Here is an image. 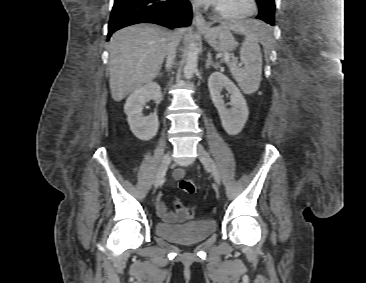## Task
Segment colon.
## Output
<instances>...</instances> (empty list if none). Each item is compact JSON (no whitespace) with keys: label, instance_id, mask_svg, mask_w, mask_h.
Wrapping results in <instances>:
<instances>
[{"label":"colon","instance_id":"colon-1","mask_svg":"<svg viewBox=\"0 0 366 283\" xmlns=\"http://www.w3.org/2000/svg\"><path fill=\"white\" fill-rule=\"evenodd\" d=\"M179 186L183 192L188 194H192L196 190V184L192 179H182ZM190 213H192V211H190Z\"/></svg>","mask_w":366,"mask_h":283}]
</instances>
